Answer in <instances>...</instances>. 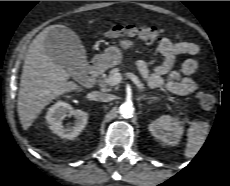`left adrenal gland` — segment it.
I'll list each match as a JSON object with an SVG mask.
<instances>
[{
  "label": "left adrenal gland",
  "mask_w": 230,
  "mask_h": 186,
  "mask_svg": "<svg viewBox=\"0 0 230 186\" xmlns=\"http://www.w3.org/2000/svg\"><path fill=\"white\" fill-rule=\"evenodd\" d=\"M142 99H144V100H154V99H156V97H145V96H143V97H141Z\"/></svg>",
  "instance_id": "left-adrenal-gland-1"
}]
</instances>
